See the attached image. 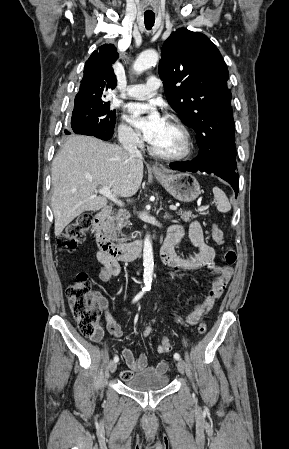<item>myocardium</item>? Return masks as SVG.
I'll use <instances>...</instances> for the list:
<instances>
[{
  "mask_svg": "<svg viewBox=\"0 0 289 449\" xmlns=\"http://www.w3.org/2000/svg\"><path fill=\"white\" fill-rule=\"evenodd\" d=\"M166 121L169 124H171L173 127H175L181 133V135L183 137L182 150L177 153L165 154V153L158 152L150 144L148 146L149 152L153 156L163 159V160L178 161V160L186 159L187 157H189L191 155V153L193 151V140H192V136H191L189 129L187 128V126L184 123H182L178 118H176L174 116H167Z\"/></svg>",
  "mask_w": 289,
  "mask_h": 449,
  "instance_id": "f54148a6",
  "label": "myocardium"
}]
</instances>
